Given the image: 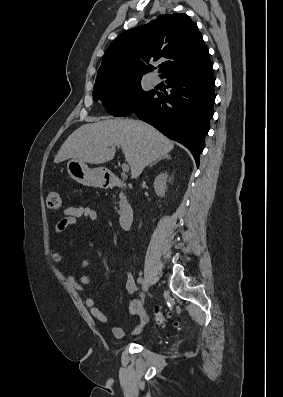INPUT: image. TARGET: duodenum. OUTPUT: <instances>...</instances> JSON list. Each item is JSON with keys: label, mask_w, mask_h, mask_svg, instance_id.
Masks as SVG:
<instances>
[{"label": "duodenum", "mask_w": 283, "mask_h": 397, "mask_svg": "<svg viewBox=\"0 0 283 397\" xmlns=\"http://www.w3.org/2000/svg\"><path fill=\"white\" fill-rule=\"evenodd\" d=\"M106 185L107 187H123L124 183L123 181L115 176L111 175L106 179ZM119 225L123 230H128L134 220V210L130 204L124 203L122 204L120 211H119Z\"/></svg>", "instance_id": "1"}]
</instances>
